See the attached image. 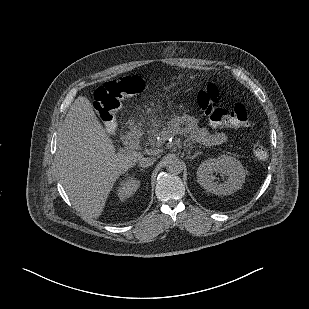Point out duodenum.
<instances>
[{"label": "duodenum", "mask_w": 309, "mask_h": 309, "mask_svg": "<svg viewBox=\"0 0 309 309\" xmlns=\"http://www.w3.org/2000/svg\"><path fill=\"white\" fill-rule=\"evenodd\" d=\"M143 131L138 126H132L125 134V146L133 148L141 139Z\"/></svg>", "instance_id": "410a0bca"}]
</instances>
